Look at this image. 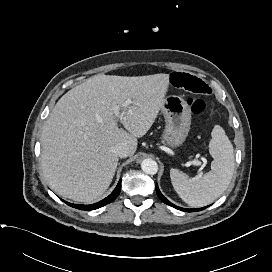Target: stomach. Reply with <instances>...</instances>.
Wrapping results in <instances>:
<instances>
[{
	"label": "stomach",
	"mask_w": 272,
	"mask_h": 272,
	"mask_svg": "<svg viewBox=\"0 0 272 272\" xmlns=\"http://www.w3.org/2000/svg\"><path fill=\"white\" fill-rule=\"evenodd\" d=\"M166 126L163 139L171 147L183 144L191 125V110L186 101L177 95H169L161 108Z\"/></svg>",
	"instance_id": "obj_1"
}]
</instances>
